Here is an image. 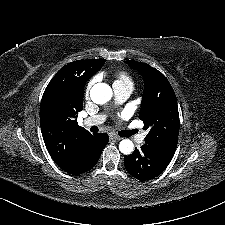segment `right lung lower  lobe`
<instances>
[{
  "label": "right lung lower lobe",
  "mask_w": 225,
  "mask_h": 225,
  "mask_svg": "<svg viewBox=\"0 0 225 225\" xmlns=\"http://www.w3.org/2000/svg\"><path fill=\"white\" fill-rule=\"evenodd\" d=\"M108 140V134L97 133L82 142L77 158L78 166L67 173L79 175L94 167L100 158L103 148L107 145Z\"/></svg>",
  "instance_id": "1"
}]
</instances>
